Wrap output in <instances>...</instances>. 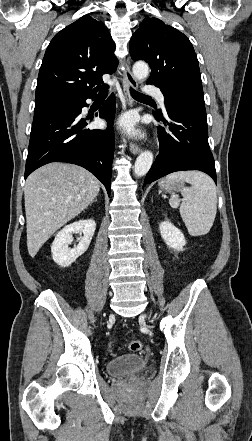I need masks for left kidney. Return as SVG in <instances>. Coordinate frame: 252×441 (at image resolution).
Masks as SVG:
<instances>
[{"mask_svg": "<svg viewBox=\"0 0 252 441\" xmlns=\"http://www.w3.org/2000/svg\"><path fill=\"white\" fill-rule=\"evenodd\" d=\"M159 229L167 246L176 250H183V247L186 245V240L183 233L178 228L168 220H165L160 223Z\"/></svg>", "mask_w": 252, "mask_h": 441, "instance_id": "obj_1", "label": "left kidney"}]
</instances>
